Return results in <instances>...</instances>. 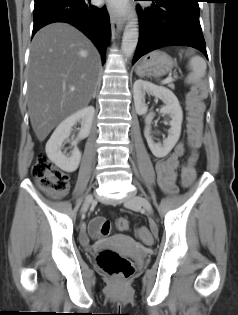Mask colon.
<instances>
[{"label": "colon", "instance_id": "5ec220e1", "mask_svg": "<svg viewBox=\"0 0 238 315\" xmlns=\"http://www.w3.org/2000/svg\"><path fill=\"white\" fill-rule=\"evenodd\" d=\"M205 96V85L199 83L193 88L188 97L187 108L189 111V124L187 141L191 150H194L201 145L203 130L202 119L204 112L202 100ZM32 175L43 189L52 194L63 195L69 189L68 175L53 165L45 156H40L33 165ZM193 179L194 176L190 169L188 167H183V183L189 185ZM116 227L122 231L127 230L129 228V222L127 219L121 218L117 221ZM88 230L90 235L94 238L106 237L110 233L111 224L105 218L96 217L89 223ZM136 234L144 241L150 238V234L145 227L138 228ZM97 263L102 271L117 282L130 278L134 272V265L130 259L109 249L103 250L98 254Z\"/></svg>", "mask_w": 238, "mask_h": 315}]
</instances>
